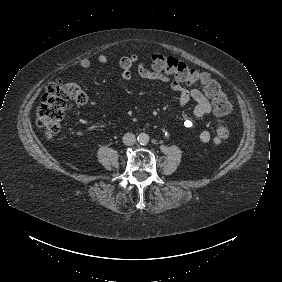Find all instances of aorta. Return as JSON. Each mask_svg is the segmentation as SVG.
<instances>
[{"label":"aorta","mask_w":282,"mask_h":282,"mask_svg":"<svg viewBox=\"0 0 282 282\" xmlns=\"http://www.w3.org/2000/svg\"><path fill=\"white\" fill-rule=\"evenodd\" d=\"M149 139H150L149 135L145 132H141L137 136V142L140 145H147L149 143Z\"/></svg>","instance_id":"obj_1"}]
</instances>
